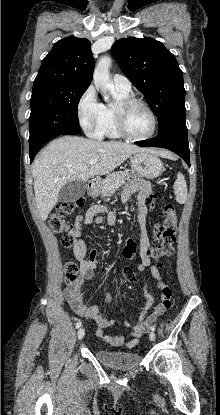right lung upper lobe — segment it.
Returning <instances> with one entry per match:
<instances>
[{"label": "right lung upper lobe", "instance_id": "1", "mask_svg": "<svg viewBox=\"0 0 220 415\" xmlns=\"http://www.w3.org/2000/svg\"><path fill=\"white\" fill-rule=\"evenodd\" d=\"M94 66L90 41L85 38L66 37L53 45L42 61L34 83L64 82L89 86Z\"/></svg>", "mask_w": 220, "mask_h": 415}]
</instances>
